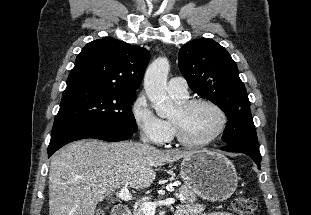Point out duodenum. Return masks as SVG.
<instances>
[{
  "label": "duodenum",
  "instance_id": "1",
  "mask_svg": "<svg viewBox=\"0 0 311 215\" xmlns=\"http://www.w3.org/2000/svg\"><path fill=\"white\" fill-rule=\"evenodd\" d=\"M112 215H131V212L126 206L118 205L113 209Z\"/></svg>",
  "mask_w": 311,
  "mask_h": 215
}]
</instances>
